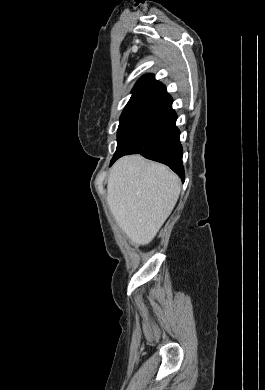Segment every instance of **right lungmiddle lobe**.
<instances>
[{"label":"right lung middle lobe","mask_w":265,"mask_h":390,"mask_svg":"<svg viewBox=\"0 0 265 390\" xmlns=\"http://www.w3.org/2000/svg\"><path fill=\"white\" fill-rule=\"evenodd\" d=\"M153 102L154 101L148 99L129 100L120 116V123L117 131V141L121 139L134 119Z\"/></svg>","instance_id":"1"}]
</instances>
